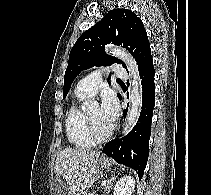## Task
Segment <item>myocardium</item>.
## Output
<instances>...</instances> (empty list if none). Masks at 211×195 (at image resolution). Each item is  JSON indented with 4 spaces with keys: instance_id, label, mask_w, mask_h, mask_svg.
<instances>
[{
    "instance_id": "myocardium-1",
    "label": "myocardium",
    "mask_w": 211,
    "mask_h": 195,
    "mask_svg": "<svg viewBox=\"0 0 211 195\" xmlns=\"http://www.w3.org/2000/svg\"><path fill=\"white\" fill-rule=\"evenodd\" d=\"M84 118H85L87 133L94 143L104 142L111 137V135L113 133V127L112 126L105 133L98 134L95 131L93 123H92V121H91V119H90V117L87 113L84 114Z\"/></svg>"
}]
</instances>
